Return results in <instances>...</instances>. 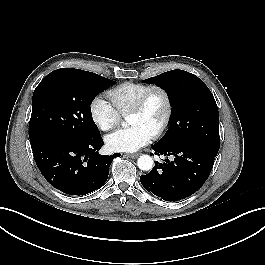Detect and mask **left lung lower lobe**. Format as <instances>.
Returning <instances> with one entry per match:
<instances>
[{
    "mask_svg": "<svg viewBox=\"0 0 265 265\" xmlns=\"http://www.w3.org/2000/svg\"><path fill=\"white\" fill-rule=\"evenodd\" d=\"M152 149L157 155L173 156V159L156 162L150 173L140 176V181L148 192L166 201H178L200 189L219 150L196 141L166 146L154 144Z\"/></svg>",
    "mask_w": 265,
    "mask_h": 265,
    "instance_id": "obj_1",
    "label": "left lung lower lobe"
}]
</instances>
